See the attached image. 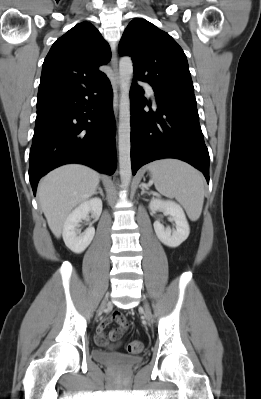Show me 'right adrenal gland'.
Masks as SVG:
<instances>
[{
  "label": "right adrenal gland",
  "instance_id": "2a0ac1e0",
  "mask_svg": "<svg viewBox=\"0 0 261 399\" xmlns=\"http://www.w3.org/2000/svg\"><path fill=\"white\" fill-rule=\"evenodd\" d=\"M98 193H100V195H101L102 197H104V193H103V190H102L101 187H98V191L95 192V194H98Z\"/></svg>",
  "mask_w": 261,
  "mask_h": 399
}]
</instances>
